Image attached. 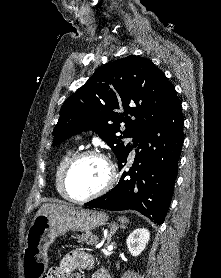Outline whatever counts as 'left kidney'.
I'll use <instances>...</instances> for the list:
<instances>
[{"label": "left kidney", "mask_w": 221, "mask_h": 278, "mask_svg": "<svg viewBox=\"0 0 221 278\" xmlns=\"http://www.w3.org/2000/svg\"><path fill=\"white\" fill-rule=\"evenodd\" d=\"M150 239V232L147 229H135L127 238V247L133 256L140 255Z\"/></svg>", "instance_id": "obj_1"}]
</instances>
